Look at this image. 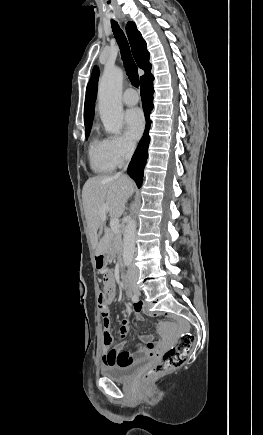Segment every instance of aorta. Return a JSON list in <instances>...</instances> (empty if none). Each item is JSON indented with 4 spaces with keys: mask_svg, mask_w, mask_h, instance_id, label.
<instances>
[{
    "mask_svg": "<svg viewBox=\"0 0 263 435\" xmlns=\"http://www.w3.org/2000/svg\"><path fill=\"white\" fill-rule=\"evenodd\" d=\"M123 73L119 68L107 69L99 83V112L107 133L119 134L123 124V107L121 103ZM136 237V221L131 216L125 226L123 235V262L131 266Z\"/></svg>",
    "mask_w": 263,
    "mask_h": 435,
    "instance_id": "aorta-1",
    "label": "aorta"
}]
</instances>
